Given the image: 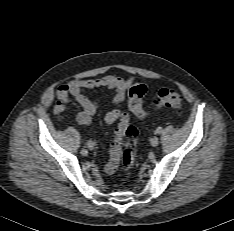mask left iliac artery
Instances as JSON below:
<instances>
[{"mask_svg":"<svg viewBox=\"0 0 234 231\" xmlns=\"http://www.w3.org/2000/svg\"><path fill=\"white\" fill-rule=\"evenodd\" d=\"M156 134H161L162 133V128L158 127L155 131Z\"/></svg>","mask_w":234,"mask_h":231,"instance_id":"1","label":"left iliac artery"}]
</instances>
